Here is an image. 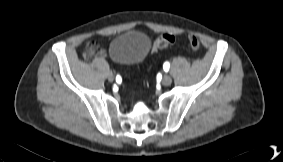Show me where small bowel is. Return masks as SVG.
Masks as SVG:
<instances>
[{
  "instance_id": "obj_1",
  "label": "small bowel",
  "mask_w": 283,
  "mask_h": 162,
  "mask_svg": "<svg viewBox=\"0 0 283 162\" xmlns=\"http://www.w3.org/2000/svg\"><path fill=\"white\" fill-rule=\"evenodd\" d=\"M95 50H96V48H95L94 46H90V47L88 48V53H89V54L94 53ZM99 53H100L102 56L105 55V51L102 50V49L99 51Z\"/></svg>"
}]
</instances>
